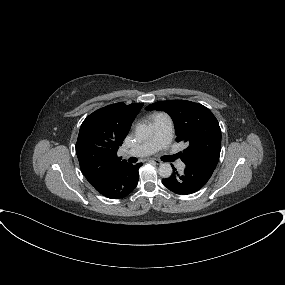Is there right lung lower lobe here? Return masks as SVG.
I'll use <instances>...</instances> for the list:
<instances>
[{"label":"right lung lower lobe","instance_id":"right-lung-lower-lobe-1","mask_svg":"<svg viewBox=\"0 0 285 285\" xmlns=\"http://www.w3.org/2000/svg\"><path fill=\"white\" fill-rule=\"evenodd\" d=\"M141 163L125 165L111 172L106 178L91 184L100 194L119 199L130 194L138 184Z\"/></svg>","mask_w":285,"mask_h":285}]
</instances>
